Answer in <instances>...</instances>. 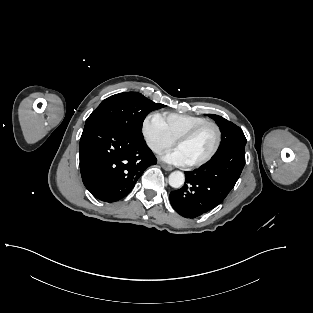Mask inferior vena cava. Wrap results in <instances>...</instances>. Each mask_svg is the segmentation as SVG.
Returning <instances> with one entry per match:
<instances>
[{
  "instance_id": "602c4592",
  "label": "inferior vena cava",
  "mask_w": 313,
  "mask_h": 313,
  "mask_svg": "<svg viewBox=\"0 0 313 313\" xmlns=\"http://www.w3.org/2000/svg\"><path fill=\"white\" fill-rule=\"evenodd\" d=\"M156 152H161V149H160V148H157V149H156Z\"/></svg>"
}]
</instances>
